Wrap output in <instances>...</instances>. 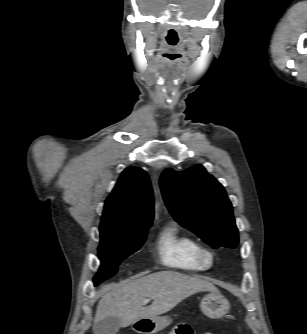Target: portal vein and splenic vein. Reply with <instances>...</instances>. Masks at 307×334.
I'll return each instance as SVG.
<instances>
[{
	"label": "portal vein and splenic vein",
	"instance_id": "portal-vein-and-splenic-vein-1",
	"mask_svg": "<svg viewBox=\"0 0 307 334\" xmlns=\"http://www.w3.org/2000/svg\"><path fill=\"white\" fill-rule=\"evenodd\" d=\"M150 300H151V299H149V298H146V299H144V300H143V303H144V304H146V303H149V302H150Z\"/></svg>",
	"mask_w": 307,
	"mask_h": 334
}]
</instances>
